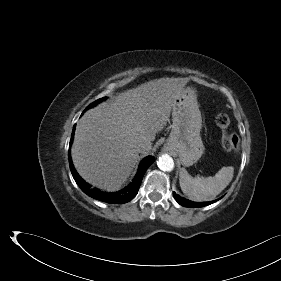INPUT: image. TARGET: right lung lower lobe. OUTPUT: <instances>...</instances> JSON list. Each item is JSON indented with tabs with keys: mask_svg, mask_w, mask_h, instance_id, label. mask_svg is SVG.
Listing matches in <instances>:
<instances>
[{
	"mask_svg": "<svg viewBox=\"0 0 281 281\" xmlns=\"http://www.w3.org/2000/svg\"><path fill=\"white\" fill-rule=\"evenodd\" d=\"M74 130H75V126L72 131V135H71L72 138L70 140V146L73 141ZM68 157H69V166H70V170L73 175V178H74L75 182L77 183V185L82 189V191L84 193H86L88 196H90L96 200L110 203V204H122V203H126V202L132 200L135 197V195L138 193L140 184L142 182V179H143V176H144L146 170L155 160L154 157H152V156L146 157L141 162L138 172H137L134 180L132 181V183H130L126 188H124L118 192L108 193V192H103L97 188H92V186L90 184L86 183L79 176V174L76 172V170L73 166L72 159L70 156V150L68 153Z\"/></svg>",
	"mask_w": 281,
	"mask_h": 281,
	"instance_id": "obj_1",
	"label": "right lung lower lobe"
}]
</instances>
